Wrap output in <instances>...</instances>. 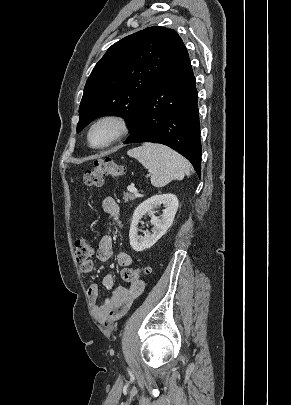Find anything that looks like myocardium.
Returning a JSON list of instances; mask_svg holds the SVG:
<instances>
[{"label":"myocardium","mask_w":291,"mask_h":405,"mask_svg":"<svg viewBox=\"0 0 291 405\" xmlns=\"http://www.w3.org/2000/svg\"><path fill=\"white\" fill-rule=\"evenodd\" d=\"M102 124H108L112 127V135L105 143L94 145L91 142V134L96 127ZM128 132L129 123L125 117L115 113L104 114L95 119L89 126L86 135L87 143L93 149H106L122 140L128 134Z\"/></svg>","instance_id":"obj_1"}]
</instances>
